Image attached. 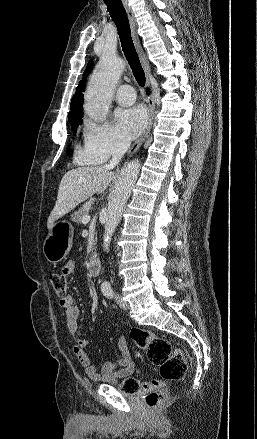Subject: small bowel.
I'll use <instances>...</instances> for the list:
<instances>
[{
    "mask_svg": "<svg viewBox=\"0 0 257 439\" xmlns=\"http://www.w3.org/2000/svg\"><path fill=\"white\" fill-rule=\"evenodd\" d=\"M74 262H66L61 270L62 275L69 276L74 272ZM65 309L66 329L69 336L74 341L73 351L85 370V374L93 381H101L115 384L120 379H125L136 372L137 368L129 350L127 341L121 337L117 343L119 358L113 362L103 364L100 371H97L91 361L86 348L88 341L78 336L79 307L75 304L72 295H67L59 302Z\"/></svg>",
    "mask_w": 257,
    "mask_h": 439,
    "instance_id": "small-bowel-1",
    "label": "small bowel"
}]
</instances>
